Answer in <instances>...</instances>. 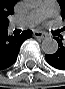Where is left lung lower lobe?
I'll return each instance as SVG.
<instances>
[{"label": "left lung lower lobe", "instance_id": "left-lung-lower-lobe-1", "mask_svg": "<svg viewBox=\"0 0 65 89\" xmlns=\"http://www.w3.org/2000/svg\"><path fill=\"white\" fill-rule=\"evenodd\" d=\"M59 37H55L59 45L58 51L52 55H45V58L54 68L65 70V41L62 42L63 37L61 35Z\"/></svg>", "mask_w": 65, "mask_h": 89}]
</instances>
